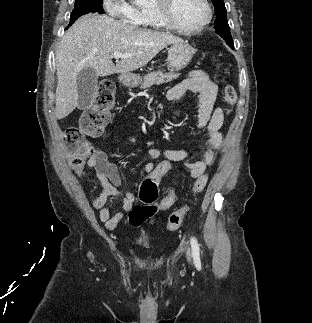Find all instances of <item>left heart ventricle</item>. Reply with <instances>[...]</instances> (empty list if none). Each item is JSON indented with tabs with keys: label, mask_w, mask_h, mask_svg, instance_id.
<instances>
[{
	"label": "left heart ventricle",
	"mask_w": 312,
	"mask_h": 323,
	"mask_svg": "<svg viewBox=\"0 0 312 323\" xmlns=\"http://www.w3.org/2000/svg\"><path fill=\"white\" fill-rule=\"evenodd\" d=\"M168 14L179 18L180 22H194L195 18H206L209 7L202 0H169Z\"/></svg>",
	"instance_id": "1"
}]
</instances>
